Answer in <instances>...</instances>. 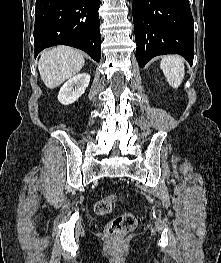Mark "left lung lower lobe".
<instances>
[{
	"mask_svg": "<svg viewBox=\"0 0 221 263\" xmlns=\"http://www.w3.org/2000/svg\"><path fill=\"white\" fill-rule=\"evenodd\" d=\"M132 11L140 67L163 54H179L192 65L194 21L188 0H133Z\"/></svg>",
	"mask_w": 221,
	"mask_h": 263,
	"instance_id": "0a47b994",
	"label": "left lung lower lobe"
}]
</instances>
